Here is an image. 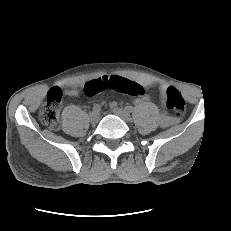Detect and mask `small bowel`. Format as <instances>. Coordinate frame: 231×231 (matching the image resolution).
<instances>
[{
	"label": "small bowel",
	"mask_w": 231,
	"mask_h": 231,
	"mask_svg": "<svg viewBox=\"0 0 231 231\" xmlns=\"http://www.w3.org/2000/svg\"><path fill=\"white\" fill-rule=\"evenodd\" d=\"M150 84H151L150 82H143L142 84H138V85H140V87L142 88L143 91L139 95L134 96L135 97V102H141V101L149 100L150 96L145 91V87L149 86ZM65 94L67 96H70V97H75V96H78V91L76 89H68V90L65 91ZM173 123H174V120H173V118H170V117H165L162 120V125L165 126V127H167V126H169V125H171Z\"/></svg>",
	"instance_id": "small-bowel-1"
}]
</instances>
